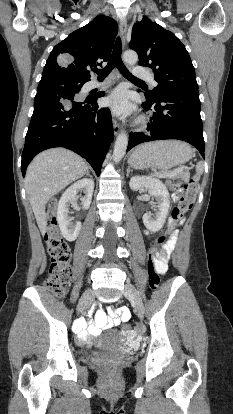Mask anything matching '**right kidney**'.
Segmentation results:
<instances>
[{
	"label": "right kidney",
	"instance_id": "right-kidney-1",
	"mask_svg": "<svg viewBox=\"0 0 233 414\" xmlns=\"http://www.w3.org/2000/svg\"><path fill=\"white\" fill-rule=\"evenodd\" d=\"M83 191L84 196L81 197L82 208L87 210L92 201L94 191L93 179H81L72 184L61 196L57 208V220L63 237L68 241H74L81 230V222H72L69 216L68 204H76L77 193Z\"/></svg>",
	"mask_w": 233,
	"mask_h": 414
}]
</instances>
